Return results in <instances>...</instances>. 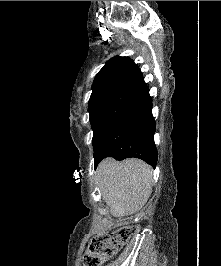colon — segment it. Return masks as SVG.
<instances>
[{
  "mask_svg": "<svg viewBox=\"0 0 221 266\" xmlns=\"http://www.w3.org/2000/svg\"><path fill=\"white\" fill-rule=\"evenodd\" d=\"M137 230L136 225H128L92 238L84 255V266H101L116 254Z\"/></svg>",
  "mask_w": 221,
  "mask_h": 266,
  "instance_id": "5ec220e1",
  "label": "colon"
}]
</instances>
